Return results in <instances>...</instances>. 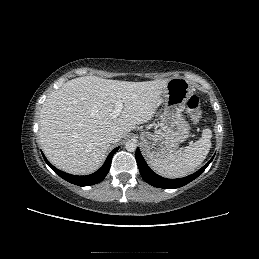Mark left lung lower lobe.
Masks as SVG:
<instances>
[{"mask_svg": "<svg viewBox=\"0 0 259 259\" xmlns=\"http://www.w3.org/2000/svg\"><path fill=\"white\" fill-rule=\"evenodd\" d=\"M212 160L213 158L200 170L187 177L179 178V179H167L154 173L145 162L143 156L140 153L139 148H137L136 150V161L142 178L148 184L158 188H164V189L179 188L193 181L206 169V167L211 163Z\"/></svg>", "mask_w": 259, "mask_h": 259, "instance_id": "0a47b994", "label": "left lung lower lobe"}]
</instances>
